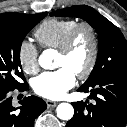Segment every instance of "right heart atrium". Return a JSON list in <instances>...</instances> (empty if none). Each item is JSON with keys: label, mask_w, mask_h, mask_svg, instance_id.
I'll list each match as a JSON object with an SVG mask.
<instances>
[{"label": "right heart atrium", "mask_w": 127, "mask_h": 127, "mask_svg": "<svg viewBox=\"0 0 127 127\" xmlns=\"http://www.w3.org/2000/svg\"><path fill=\"white\" fill-rule=\"evenodd\" d=\"M18 60L25 73H37L39 69L38 50L32 42L23 40L20 43L18 47Z\"/></svg>", "instance_id": "right-heart-atrium-1"}]
</instances>
